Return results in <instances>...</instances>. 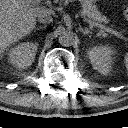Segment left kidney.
<instances>
[{
  "mask_svg": "<svg viewBox=\"0 0 128 128\" xmlns=\"http://www.w3.org/2000/svg\"><path fill=\"white\" fill-rule=\"evenodd\" d=\"M111 51L106 46H96L88 51L93 69L101 74H108L112 68Z\"/></svg>",
  "mask_w": 128,
  "mask_h": 128,
  "instance_id": "1",
  "label": "left kidney"
}]
</instances>
